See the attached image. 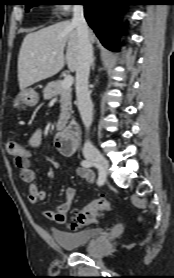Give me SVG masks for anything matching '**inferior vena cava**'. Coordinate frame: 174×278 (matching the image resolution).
Returning <instances> with one entry per match:
<instances>
[{"mask_svg":"<svg viewBox=\"0 0 174 278\" xmlns=\"http://www.w3.org/2000/svg\"><path fill=\"white\" fill-rule=\"evenodd\" d=\"M71 23L76 27L78 35V62L76 67V97L81 119L88 130L93 121V105L88 89L90 66L93 62V49L89 39V30L84 17L82 5H74ZM83 152H96V148L87 140Z\"/></svg>","mask_w":174,"mask_h":278,"instance_id":"602c4592","label":"inferior vena cava"}]
</instances>
